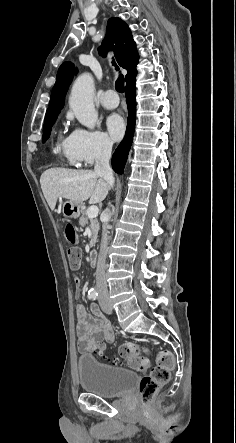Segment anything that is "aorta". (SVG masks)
Returning <instances> with one entry per match:
<instances>
[{"mask_svg": "<svg viewBox=\"0 0 236 443\" xmlns=\"http://www.w3.org/2000/svg\"><path fill=\"white\" fill-rule=\"evenodd\" d=\"M94 80L90 73L80 75L74 82L69 98V106L77 120L89 129H94L98 120L94 102Z\"/></svg>", "mask_w": 236, "mask_h": 443, "instance_id": "1", "label": "aorta"}]
</instances>
